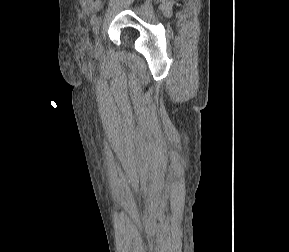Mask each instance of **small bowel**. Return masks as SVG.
Wrapping results in <instances>:
<instances>
[{"label":"small bowel","instance_id":"1","mask_svg":"<svg viewBox=\"0 0 289 252\" xmlns=\"http://www.w3.org/2000/svg\"><path fill=\"white\" fill-rule=\"evenodd\" d=\"M82 9L87 14L98 11L102 6V0H80Z\"/></svg>","mask_w":289,"mask_h":252}]
</instances>
